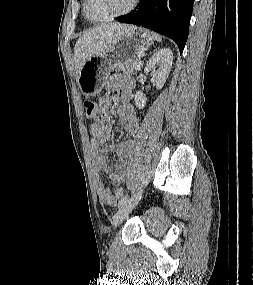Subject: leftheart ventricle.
I'll list each match as a JSON object with an SVG mask.
<instances>
[{
	"instance_id": "left-heart-ventricle-1",
	"label": "left heart ventricle",
	"mask_w": 253,
	"mask_h": 285,
	"mask_svg": "<svg viewBox=\"0 0 253 285\" xmlns=\"http://www.w3.org/2000/svg\"><path fill=\"white\" fill-rule=\"evenodd\" d=\"M133 0H88L87 11L93 18H103L129 7Z\"/></svg>"
}]
</instances>
